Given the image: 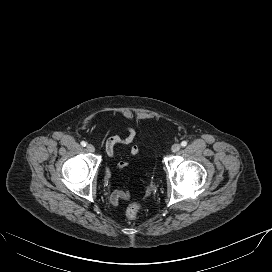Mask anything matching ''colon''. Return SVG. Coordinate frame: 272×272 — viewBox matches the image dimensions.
<instances>
[{
    "mask_svg": "<svg viewBox=\"0 0 272 272\" xmlns=\"http://www.w3.org/2000/svg\"><path fill=\"white\" fill-rule=\"evenodd\" d=\"M140 210L141 205L139 203H132L127 207L125 215L128 220H134L138 216Z\"/></svg>",
    "mask_w": 272,
    "mask_h": 272,
    "instance_id": "1",
    "label": "colon"
}]
</instances>
